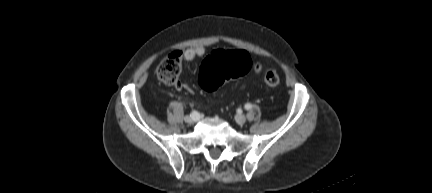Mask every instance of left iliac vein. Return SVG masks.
Returning <instances> with one entry per match:
<instances>
[{"mask_svg":"<svg viewBox=\"0 0 432 193\" xmlns=\"http://www.w3.org/2000/svg\"><path fill=\"white\" fill-rule=\"evenodd\" d=\"M235 121H236L239 125H242V124H244V123L246 122V117H245L244 115H242V114H238V115H236V117H235Z\"/></svg>","mask_w":432,"mask_h":193,"instance_id":"obj_1","label":"left iliac vein"}]
</instances>
